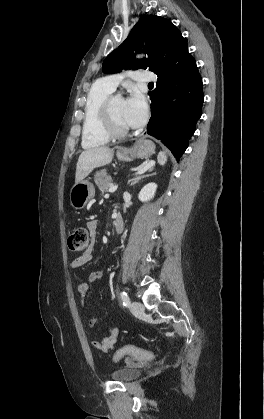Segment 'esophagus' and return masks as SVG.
I'll use <instances>...</instances> for the list:
<instances>
[{
  "label": "esophagus",
  "mask_w": 264,
  "mask_h": 419,
  "mask_svg": "<svg viewBox=\"0 0 264 419\" xmlns=\"http://www.w3.org/2000/svg\"><path fill=\"white\" fill-rule=\"evenodd\" d=\"M120 151H121V152H124V150H123V149H121Z\"/></svg>",
  "instance_id": "obj_1"
}]
</instances>
